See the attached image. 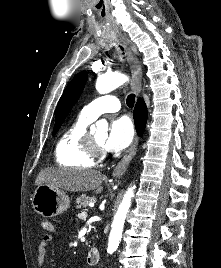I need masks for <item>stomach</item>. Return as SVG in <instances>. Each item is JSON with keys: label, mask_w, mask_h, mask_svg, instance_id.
<instances>
[{"label": "stomach", "mask_w": 221, "mask_h": 268, "mask_svg": "<svg viewBox=\"0 0 221 268\" xmlns=\"http://www.w3.org/2000/svg\"><path fill=\"white\" fill-rule=\"evenodd\" d=\"M34 210L45 218L55 217L69 208V197L62 189L39 185L32 195Z\"/></svg>", "instance_id": "obj_1"}]
</instances>
